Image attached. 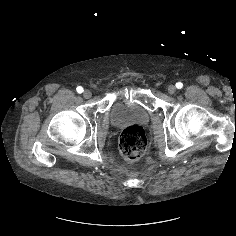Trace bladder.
I'll return each mask as SVG.
<instances>
[{
    "instance_id": "obj_1",
    "label": "bladder",
    "mask_w": 236,
    "mask_h": 236,
    "mask_svg": "<svg viewBox=\"0 0 236 236\" xmlns=\"http://www.w3.org/2000/svg\"><path fill=\"white\" fill-rule=\"evenodd\" d=\"M147 117L144 108L137 104L116 102L111 108V120L116 126L131 119L143 120Z\"/></svg>"
}]
</instances>
